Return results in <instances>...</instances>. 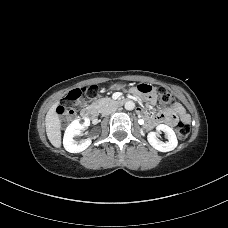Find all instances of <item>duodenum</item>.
<instances>
[{
	"instance_id": "1",
	"label": "duodenum",
	"mask_w": 228,
	"mask_h": 228,
	"mask_svg": "<svg viewBox=\"0 0 228 228\" xmlns=\"http://www.w3.org/2000/svg\"><path fill=\"white\" fill-rule=\"evenodd\" d=\"M131 102L130 99H115L112 101V104L114 106H123L126 103ZM98 115V109L96 107L94 108H84L81 111V117L85 120H94L97 118Z\"/></svg>"
}]
</instances>
